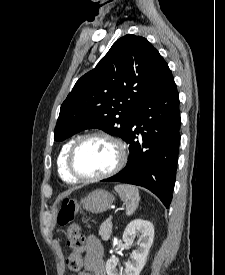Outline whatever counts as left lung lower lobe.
I'll return each instance as SVG.
<instances>
[{
  "label": "left lung lower lobe",
  "mask_w": 225,
  "mask_h": 275,
  "mask_svg": "<svg viewBox=\"0 0 225 275\" xmlns=\"http://www.w3.org/2000/svg\"><path fill=\"white\" fill-rule=\"evenodd\" d=\"M180 124L179 95L170 71L146 98L128 128L123 139L129 144L125 168L102 182L145 187L168 208L175 184Z\"/></svg>",
  "instance_id": "1"
}]
</instances>
